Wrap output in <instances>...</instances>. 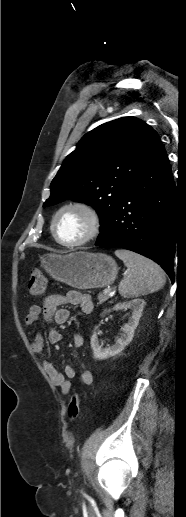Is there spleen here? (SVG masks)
I'll return each instance as SVG.
<instances>
[{
	"instance_id": "3e777b00",
	"label": "spleen",
	"mask_w": 186,
	"mask_h": 517,
	"mask_svg": "<svg viewBox=\"0 0 186 517\" xmlns=\"http://www.w3.org/2000/svg\"><path fill=\"white\" fill-rule=\"evenodd\" d=\"M115 255L127 267V275L119 284V293L124 298L147 295L161 289L165 282V273L153 261L128 250H116Z\"/></svg>"
}]
</instances>
